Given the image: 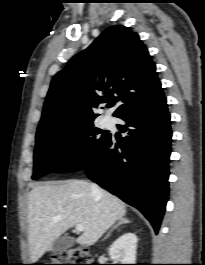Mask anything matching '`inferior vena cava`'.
Segmentation results:
<instances>
[{
	"label": "inferior vena cava",
	"mask_w": 205,
	"mask_h": 265,
	"mask_svg": "<svg viewBox=\"0 0 205 265\" xmlns=\"http://www.w3.org/2000/svg\"><path fill=\"white\" fill-rule=\"evenodd\" d=\"M91 188L93 192H98L99 191V187L95 184H91Z\"/></svg>",
	"instance_id": "1"
}]
</instances>
